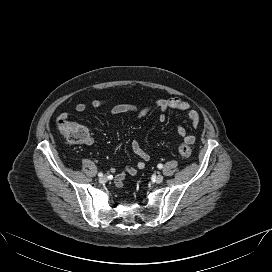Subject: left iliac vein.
Masks as SVG:
<instances>
[{
  "label": "left iliac vein",
  "instance_id": "1",
  "mask_svg": "<svg viewBox=\"0 0 272 272\" xmlns=\"http://www.w3.org/2000/svg\"><path fill=\"white\" fill-rule=\"evenodd\" d=\"M164 180V177L162 175H157L155 178L156 183H162Z\"/></svg>",
  "mask_w": 272,
  "mask_h": 272
}]
</instances>
